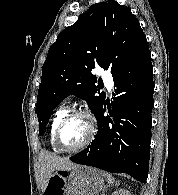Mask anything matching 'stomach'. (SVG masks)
I'll return each mask as SVG.
<instances>
[{
  "mask_svg": "<svg viewBox=\"0 0 178 195\" xmlns=\"http://www.w3.org/2000/svg\"><path fill=\"white\" fill-rule=\"evenodd\" d=\"M105 178L104 172L89 166L77 165L70 170H56L44 193L54 187L56 195H99L105 188Z\"/></svg>",
  "mask_w": 178,
  "mask_h": 195,
  "instance_id": "stomach-1",
  "label": "stomach"
}]
</instances>
